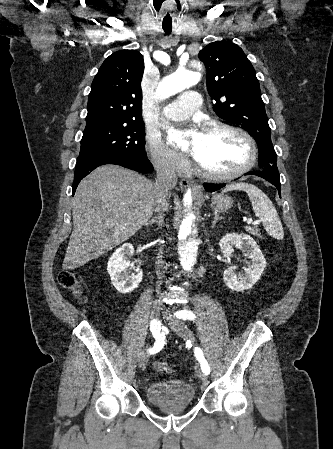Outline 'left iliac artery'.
<instances>
[{"label":"left iliac artery","mask_w":333,"mask_h":449,"mask_svg":"<svg viewBox=\"0 0 333 449\" xmlns=\"http://www.w3.org/2000/svg\"><path fill=\"white\" fill-rule=\"evenodd\" d=\"M178 318L183 319H194L195 315L191 311H180L176 313ZM195 356L201 365V369L205 375L210 373V367L208 365L207 360L205 359L202 350L199 347H196L194 350Z\"/></svg>","instance_id":"obj_1"}]
</instances>
